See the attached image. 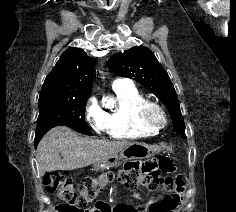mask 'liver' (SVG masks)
Listing matches in <instances>:
<instances>
[{"label":"liver","mask_w":236,"mask_h":212,"mask_svg":"<svg viewBox=\"0 0 236 212\" xmlns=\"http://www.w3.org/2000/svg\"><path fill=\"white\" fill-rule=\"evenodd\" d=\"M132 144L82 137L67 127H55L46 133L37 147L38 170L44 173L83 168L116 155Z\"/></svg>","instance_id":"1"}]
</instances>
